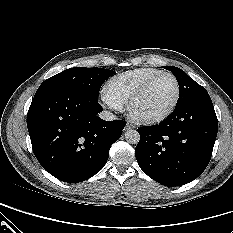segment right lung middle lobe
Instances as JSON below:
<instances>
[{"instance_id":"obj_1","label":"right lung middle lobe","mask_w":233,"mask_h":233,"mask_svg":"<svg viewBox=\"0 0 233 233\" xmlns=\"http://www.w3.org/2000/svg\"><path fill=\"white\" fill-rule=\"evenodd\" d=\"M112 74H114L112 70L96 67H75L66 69L45 80L38 88L33 100H37L48 92L60 88L73 89L79 93L98 99L101 85Z\"/></svg>"}]
</instances>
